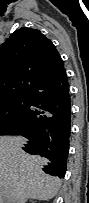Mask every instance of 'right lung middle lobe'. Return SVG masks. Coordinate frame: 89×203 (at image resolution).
Listing matches in <instances>:
<instances>
[{"label": "right lung middle lobe", "instance_id": "right-lung-middle-lobe-1", "mask_svg": "<svg viewBox=\"0 0 89 203\" xmlns=\"http://www.w3.org/2000/svg\"><path fill=\"white\" fill-rule=\"evenodd\" d=\"M28 110L27 96L0 104V135L9 134Z\"/></svg>", "mask_w": 89, "mask_h": 203}]
</instances>
